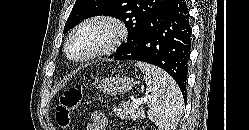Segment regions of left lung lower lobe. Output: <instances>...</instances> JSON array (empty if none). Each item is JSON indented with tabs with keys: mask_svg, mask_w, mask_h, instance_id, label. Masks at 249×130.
Listing matches in <instances>:
<instances>
[{
	"mask_svg": "<svg viewBox=\"0 0 249 130\" xmlns=\"http://www.w3.org/2000/svg\"><path fill=\"white\" fill-rule=\"evenodd\" d=\"M190 49L187 3L170 0L144 23L137 36L114 59L143 61L164 69L177 82L186 101Z\"/></svg>",
	"mask_w": 249,
	"mask_h": 130,
	"instance_id": "left-lung-lower-lobe-1",
	"label": "left lung lower lobe"
}]
</instances>
